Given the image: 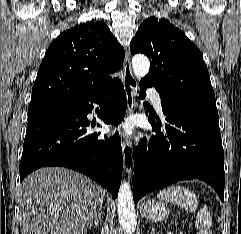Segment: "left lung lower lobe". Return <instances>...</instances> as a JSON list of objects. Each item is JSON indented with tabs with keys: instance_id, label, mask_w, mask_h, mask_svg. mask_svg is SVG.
Instances as JSON below:
<instances>
[{
	"instance_id": "1",
	"label": "left lung lower lobe",
	"mask_w": 241,
	"mask_h": 234,
	"mask_svg": "<svg viewBox=\"0 0 241 234\" xmlns=\"http://www.w3.org/2000/svg\"><path fill=\"white\" fill-rule=\"evenodd\" d=\"M150 83L140 82L141 98ZM164 122L149 118L154 133L134 154L133 199L184 179L210 184L224 201V151L218 113L161 97Z\"/></svg>"
}]
</instances>
